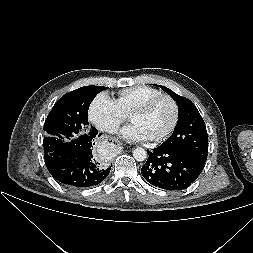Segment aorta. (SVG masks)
Segmentation results:
<instances>
[{
  "label": "aorta",
  "mask_w": 253,
  "mask_h": 253,
  "mask_svg": "<svg viewBox=\"0 0 253 253\" xmlns=\"http://www.w3.org/2000/svg\"><path fill=\"white\" fill-rule=\"evenodd\" d=\"M133 157L139 162L144 161L147 158V152L144 148L137 147L133 150Z\"/></svg>",
  "instance_id": "762f6f07"
}]
</instances>
